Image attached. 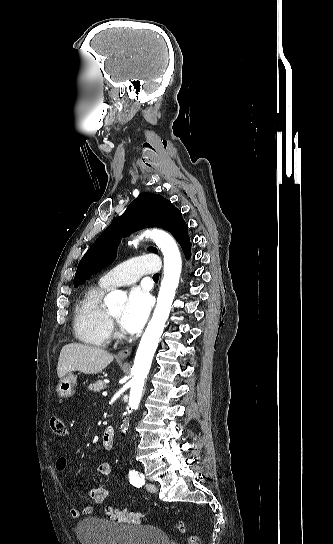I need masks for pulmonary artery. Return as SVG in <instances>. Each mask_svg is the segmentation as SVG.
Instances as JSON below:
<instances>
[{
    "label": "pulmonary artery",
    "instance_id": "e3ab8cb5",
    "mask_svg": "<svg viewBox=\"0 0 333 544\" xmlns=\"http://www.w3.org/2000/svg\"><path fill=\"white\" fill-rule=\"evenodd\" d=\"M160 270L159 258L155 255H142L130 258L109 270L99 283L107 288L129 285L145 274H155Z\"/></svg>",
    "mask_w": 333,
    "mask_h": 544
}]
</instances>
